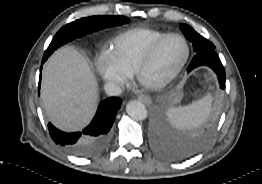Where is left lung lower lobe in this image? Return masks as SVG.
<instances>
[{
  "label": "left lung lower lobe",
  "instance_id": "left-lung-lower-lobe-1",
  "mask_svg": "<svg viewBox=\"0 0 262 184\" xmlns=\"http://www.w3.org/2000/svg\"><path fill=\"white\" fill-rule=\"evenodd\" d=\"M202 65L209 66L217 74L220 88L225 89V70L214 49L197 52L188 71ZM148 132L152 150L161 158L169 161L192 157L203 150L210 140L209 133L195 136L178 135L159 110L152 113Z\"/></svg>",
  "mask_w": 262,
  "mask_h": 184
}]
</instances>
